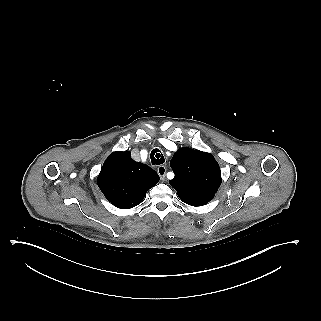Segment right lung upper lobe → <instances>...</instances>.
Segmentation results:
<instances>
[{"mask_svg": "<svg viewBox=\"0 0 321 321\" xmlns=\"http://www.w3.org/2000/svg\"><path fill=\"white\" fill-rule=\"evenodd\" d=\"M159 181L149 166L135 162L129 151L113 152L104 162L97 183L109 202L121 209L139 205Z\"/></svg>", "mask_w": 321, "mask_h": 321, "instance_id": "cb5924a9", "label": "right lung upper lobe"}]
</instances>
